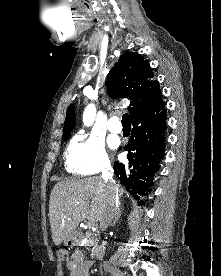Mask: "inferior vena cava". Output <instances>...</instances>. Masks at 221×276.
Masks as SVG:
<instances>
[{
  "mask_svg": "<svg viewBox=\"0 0 221 276\" xmlns=\"http://www.w3.org/2000/svg\"><path fill=\"white\" fill-rule=\"evenodd\" d=\"M102 178L105 183H110V186L108 188L106 206L99 220L100 230L105 231L117 216L118 208H119V199H118V190L113 181V170L110 165H108L102 171Z\"/></svg>",
  "mask_w": 221,
  "mask_h": 276,
  "instance_id": "inferior-vena-cava-1",
  "label": "inferior vena cava"
}]
</instances>
